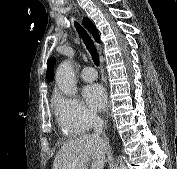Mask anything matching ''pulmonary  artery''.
Instances as JSON below:
<instances>
[{
	"instance_id": "pulmonary-artery-1",
	"label": "pulmonary artery",
	"mask_w": 177,
	"mask_h": 169,
	"mask_svg": "<svg viewBox=\"0 0 177 169\" xmlns=\"http://www.w3.org/2000/svg\"><path fill=\"white\" fill-rule=\"evenodd\" d=\"M98 77L96 70L91 66H86L81 72V78L86 82H92Z\"/></svg>"
}]
</instances>
